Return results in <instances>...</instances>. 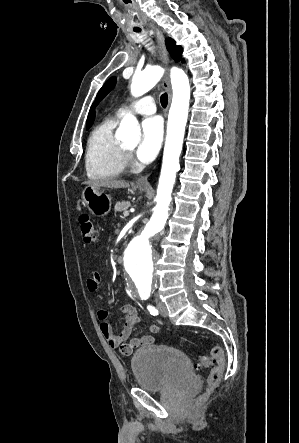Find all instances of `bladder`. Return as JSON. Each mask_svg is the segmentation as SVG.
Instances as JSON below:
<instances>
[{
    "mask_svg": "<svg viewBox=\"0 0 299 443\" xmlns=\"http://www.w3.org/2000/svg\"><path fill=\"white\" fill-rule=\"evenodd\" d=\"M130 366L136 384L146 390H161L194 378L187 356L166 345L139 349L133 354Z\"/></svg>",
    "mask_w": 299,
    "mask_h": 443,
    "instance_id": "1",
    "label": "bladder"
}]
</instances>
